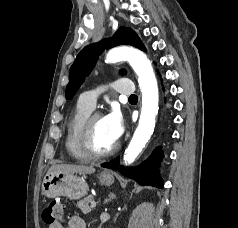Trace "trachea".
<instances>
[{
	"label": "trachea",
	"instance_id": "obj_1",
	"mask_svg": "<svg viewBox=\"0 0 238 228\" xmlns=\"http://www.w3.org/2000/svg\"><path fill=\"white\" fill-rule=\"evenodd\" d=\"M134 99H137V96H136V95H131V96L129 97V100H134Z\"/></svg>",
	"mask_w": 238,
	"mask_h": 228
}]
</instances>
